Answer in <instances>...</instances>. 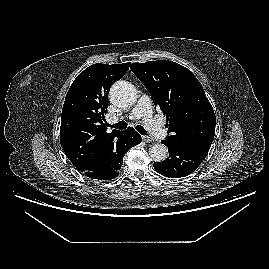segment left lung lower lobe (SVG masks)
Returning a JSON list of instances; mask_svg holds the SVG:
<instances>
[{"label":"left lung lower lobe","instance_id":"left-lung-lower-lobe-1","mask_svg":"<svg viewBox=\"0 0 269 269\" xmlns=\"http://www.w3.org/2000/svg\"><path fill=\"white\" fill-rule=\"evenodd\" d=\"M161 143L168 147L170 156L162 162H155L154 169L165 177L188 176L197 169L209 151V148L204 147H179L165 140Z\"/></svg>","mask_w":269,"mask_h":269}]
</instances>
